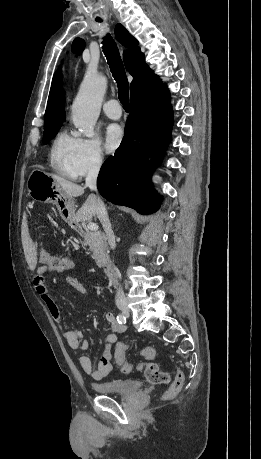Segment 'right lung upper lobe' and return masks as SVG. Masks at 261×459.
<instances>
[{
  "label": "right lung upper lobe",
  "instance_id": "obj_1",
  "mask_svg": "<svg viewBox=\"0 0 261 459\" xmlns=\"http://www.w3.org/2000/svg\"><path fill=\"white\" fill-rule=\"evenodd\" d=\"M115 37L123 46L128 48L123 53V60L126 69L133 76L130 84V100L163 85L158 76L146 64L144 54L138 47V41L122 25L116 26ZM62 86L61 76L56 72L52 80L45 112V125L63 123L65 119Z\"/></svg>",
  "mask_w": 261,
  "mask_h": 459
}]
</instances>
